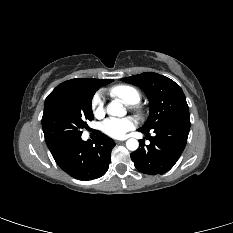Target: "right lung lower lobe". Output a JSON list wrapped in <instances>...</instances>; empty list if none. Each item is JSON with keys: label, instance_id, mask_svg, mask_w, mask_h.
Instances as JSON below:
<instances>
[{"label": "right lung lower lobe", "instance_id": "right-lung-lower-lobe-1", "mask_svg": "<svg viewBox=\"0 0 233 233\" xmlns=\"http://www.w3.org/2000/svg\"><path fill=\"white\" fill-rule=\"evenodd\" d=\"M114 141L98 131L94 140L83 141L74 137L49 148L58 166L80 180H91L103 176L111 161Z\"/></svg>", "mask_w": 233, "mask_h": 233}]
</instances>
